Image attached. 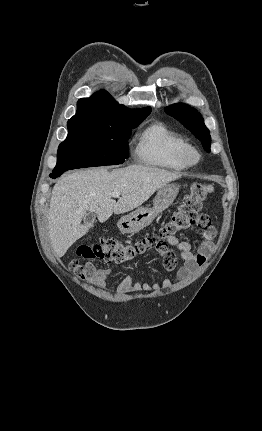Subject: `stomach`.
<instances>
[{
	"mask_svg": "<svg viewBox=\"0 0 262 431\" xmlns=\"http://www.w3.org/2000/svg\"><path fill=\"white\" fill-rule=\"evenodd\" d=\"M179 193V186L176 184H166L161 187L153 199L152 207H139L135 211L120 218L117 223L122 233H136L146 226L175 200Z\"/></svg>",
	"mask_w": 262,
	"mask_h": 431,
	"instance_id": "obj_1",
	"label": "stomach"
}]
</instances>
